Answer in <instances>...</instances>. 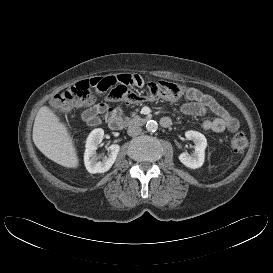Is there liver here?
Masks as SVG:
<instances>
[{
    "mask_svg": "<svg viewBox=\"0 0 273 273\" xmlns=\"http://www.w3.org/2000/svg\"><path fill=\"white\" fill-rule=\"evenodd\" d=\"M33 142L50 160L67 167H79V158L68 128L48 106H42L34 121Z\"/></svg>",
    "mask_w": 273,
    "mask_h": 273,
    "instance_id": "1",
    "label": "liver"
}]
</instances>
